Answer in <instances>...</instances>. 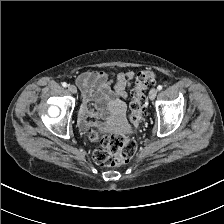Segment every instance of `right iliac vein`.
<instances>
[{"label": "right iliac vein", "mask_w": 224, "mask_h": 224, "mask_svg": "<svg viewBox=\"0 0 224 224\" xmlns=\"http://www.w3.org/2000/svg\"><path fill=\"white\" fill-rule=\"evenodd\" d=\"M68 90L73 94L77 92V88L74 85H69Z\"/></svg>", "instance_id": "1"}]
</instances>
